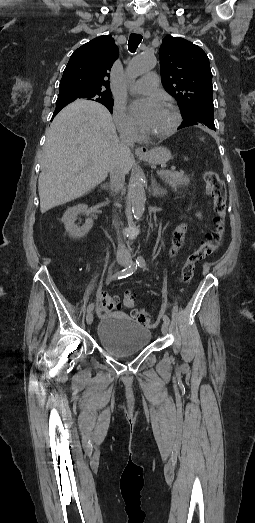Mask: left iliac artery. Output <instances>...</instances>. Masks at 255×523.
Wrapping results in <instances>:
<instances>
[{
    "instance_id": "44dca946",
    "label": "left iliac artery",
    "mask_w": 255,
    "mask_h": 523,
    "mask_svg": "<svg viewBox=\"0 0 255 523\" xmlns=\"http://www.w3.org/2000/svg\"><path fill=\"white\" fill-rule=\"evenodd\" d=\"M138 263H139V267H141V268H143V267L146 265L144 259H140V260L138 261ZM163 320H164V322L167 323V324L170 323V319H169V317H168L167 315H163Z\"/></svg>"
}]
</instances>
